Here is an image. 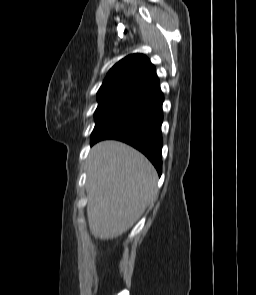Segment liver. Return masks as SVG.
I'll return each mask as SVG.
<instances>
[{
    "label": "liver",
    "mask_w": 256,
    "mask_h": 295,
    "mask_svg": "<svg viewBox=\"0 0 256 295\" xmlns=\"http://www.w3.org/2000/svg\"><path fill=\"white\" fill-rule=\"evenodd\" d=\"M87 217L95 238H116L131 228L157 196V172L149 160L119 141L91 149L87 161Z\"/></svg>",
    "instance_id": "liver-1"
}]
</instances>
